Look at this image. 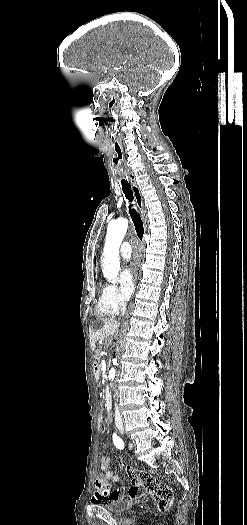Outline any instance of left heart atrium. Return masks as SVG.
Returning a JSON list of instances; mask_svg holds the SVG:
<instances>
[{
	"label": "left heart atrium",
	"instance_id": "obj_1",
	"mask_svg": "<svg viewBox=\"0 0 247 525\" xmlns=\"http://www.w3.org/2000/svg\"><path fill=\"white\" fill-rule=\"evenodd\" d=\"M144 265V254L140 249H136L129 265L121 273L122 288L126 297L132 293L134 283L141 276Z\"/></svg>",
	"mask_w": 247,
	"mask_h": 525
}]
</instances>
